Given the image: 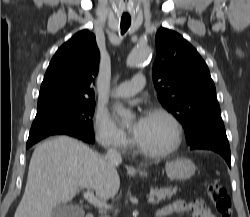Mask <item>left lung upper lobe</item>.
<instances>
[{
    "label": "left lung upper lobe",
    "instance_id": "5c2ea615",
    "mask_svg": "<svg viewBox=\"0 0 250 217\" xmlns=\"http://www.w3.org/2000/svg\"><path fill=\"white\" fill-rule=\"evenodd\" d=\"M155 44L157 97L183 125L188 140L209 122L222 120L215 85L204 60L180 34L160 28Z\"/></svg>",
    "mask_w": 250,
    "mask_h": 217
}]
</instances>
